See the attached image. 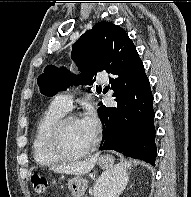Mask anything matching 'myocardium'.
<instances>
[{"label": "myocardium", "instance_id": "1", "mask_svg": "<svg viewBox=\"0 0 191 197\" xmlns=\"http://www.w3.org/2000/svg\"><path fill=\"white\" fill-rule=\"evenodd\" d=\"M79 120L74 114L63 115L49 129L47 134V145L49 150L60 160L74 161L87 156L96 146V141L93 140L82 152L71 154L67 152L62 144V132L67 123Z\"/></svg>", "mask_w": 191, "mask_h": 197}]
</instances>
